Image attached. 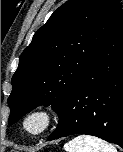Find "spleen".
Here are the masks:
<instances>
[{
	"instance_id": "obj_1",
	"label": "spleen",
	"mask_w": 123,
	"mask_h": 152,
	"mask_svg": "<svg viewBox=\"0 0 123 152\" xmlns=\"http://www.w3.org/2000/svg\"><path fill=\"white\" fill-rule=\"evenodd\" d=\"M66 152H117L113 145H110L94 136L79 135L65 144Z\"/></svg>"
}]
</instances>
